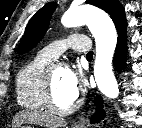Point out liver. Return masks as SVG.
I'll list each match as a JSON object with an SVG mask.
<instances>
[{
  "instance_id": "obj_1",
  "label": "liver",
  "mask_w": 142,
  "mask_h": 128,
  "mask_svg": "<svg viewBox=\"0 0 142 128\" xmlns=\"http://www.w3.org/2000/svg\"><path fill=\"white\" fill-rule=\"evenodd\" d=\"M23 123L37 124L46 128H62L66 121L60 117L43 111L23 110L18 112L12 122V128H18Z\"/></svg>"
}]
</instances>
